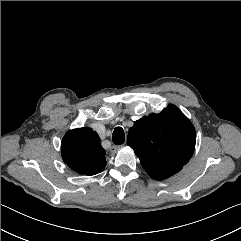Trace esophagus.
<instances>
[{"instance_id": "obj_1", "label": "esophagus", "mask_w": 241, "mask_h": 241, "mask_svg": "<svg viewBox=\"0 0 241 241\" xmlns=\"http://www.w3.org/2000/svg\"><path fill=\"white\" fill-rule=\"evenodd\" d=\"M121 146L119 145H113L110 147V152L115 153L117 150L120 149Z\"/></svg>"}]
</instances>
